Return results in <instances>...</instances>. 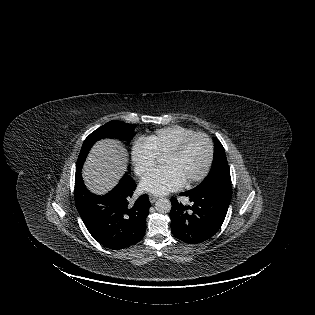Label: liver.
I'll return each instance as SVG.
<instances>
[{
  "instance_id": "6515ba94",
  "label": "liver",
  "mask_w": 315,
  "mask_h": 315,
  "mask_svg": "<svg viewBox=\"0 0 315 315\" xmlns=\"http://www.w3.org/2000/svg\"><path fill=\"white\" fill-rule=\"evenodd\" d=\"M127 167V151L115 140H102L92 149L83 169L86 185L95 193L113 188Z\"/></svg>"
}]
</instances>
